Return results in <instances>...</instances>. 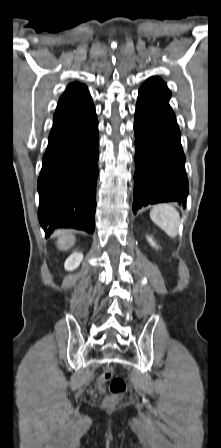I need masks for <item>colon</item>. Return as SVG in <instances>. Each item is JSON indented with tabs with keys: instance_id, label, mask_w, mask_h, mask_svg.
<instances>
[{
	"instance_id": "colon-1",
	"label": "colon",
	"mask_w": 221,
	"mask_h": 448,
	"mask_svg": "<svg viewBox=\"0 0 221 448\" xmlns=\"http://www.w3.org/2000/svg\"><path fill=\"white\" fill-rule=\"evenodd\" d=\"M110 381V394L105 398L104 405L111 408L117 404L122 395L126 392V382L120 376H114V370L111 367H106L99 378V383Z\"/></svg>"
}]
</instances>
